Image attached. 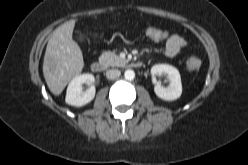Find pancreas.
I'll return each instance as SVG.
<instances>
[{"instance_id":"cf45deb5","label":"pancreas","mask_w":248,"mask_h":165,"mask_svg":"<svg viewBox=\"0 0 248 165\" xmlns=\"http://www.w3.org/2000/svg\"><path fill=\"white\" fill-rule=\"evenodd\" d=\"M99 61L105 64L106 66H123L127 63V60L120 58L113 52L105 51L99 57Z\"/></svg>"}]
</instances>
